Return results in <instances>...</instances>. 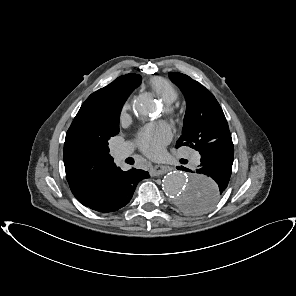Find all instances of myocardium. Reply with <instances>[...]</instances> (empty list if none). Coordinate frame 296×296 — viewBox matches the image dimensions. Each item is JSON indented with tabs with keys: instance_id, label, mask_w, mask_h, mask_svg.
Instances as JSON below:
<instances>
[{
	"instance_id": "myocardium-1",
	"label": "myocardium",
	"mask_w": 296,
	"mask_h": 296,
	"mask_svg": "<svg viewBox=\"0 0 296 296\" xmlns=\"http://www.w3.org/2000/svg\"><path fill=\"white\" fill-rule=\"evenodd\" d=\"M164 113L169 118H174L176 115V108L173 104L164 103Z\"/></svg>"
}]
</instances>
